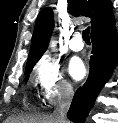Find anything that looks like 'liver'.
Listing matches in <instances>:
<instances>
[{
    "label": "liver",
    "mask_w": 118,
    "mask_h": 123,
    "mask_svg": "<svg viewBox=\"0 0 118 123\" xmlns=\"http://www.w3.org/2000/svg\"><path fill=\"white\" fill-rule=\"evenodd\" d=\"M4 123H58L53 115L32 114L26 116H11Z\"/></svg>",
    "instance_id": "liver-1"
}]
</instances>
